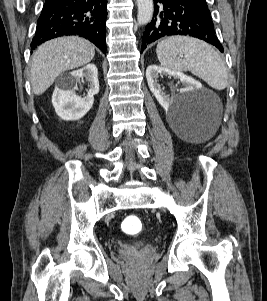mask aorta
<instances>
[{
  "mask_svg": "<svg viewBox=\"0 0 267 301\" xmlns=\"http://www.w3.org/2000/svg\"><path fill=\"white\" fill-rule=\"evenodd\" d=\"M138 15L137 21L139 25H145L152 19L154 6L153 0H137Z\"/></svg>",
  "mask_w": 267,
  "mask_h": 301,
  "instance_id": "obj_1",
  "label": "aorta"
}]
</instances>
